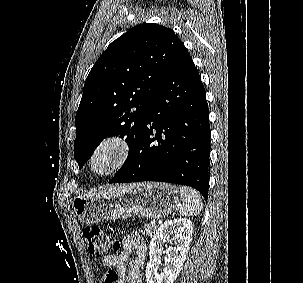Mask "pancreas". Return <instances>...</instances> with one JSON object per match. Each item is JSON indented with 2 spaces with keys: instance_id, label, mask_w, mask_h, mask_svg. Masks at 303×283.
Masks as SVG:
<instances>
[{
  "instance_id": "cf45deb5",
  "label": "pancreas",
  "mask_w": 303,
  "mask_h": 283,
  "mask_svg": "<svg viewBox=\"0 0 303 283\" xmlns=\"http://www.w3.org/2000/svg\"><path fill=\"white\" fill-rule=\"evenodd\" d=\"M145 231L147 232L148 235L152 236L156 232V225L153 224V222H150V224H145Z\"/></svg>"
}]
</instances>
